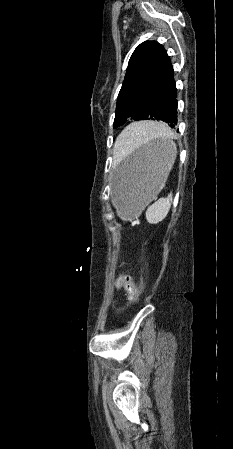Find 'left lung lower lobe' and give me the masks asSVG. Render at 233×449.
Instances as JSON below:
<instances>
[{"label": "left lung lower lobe", "instance_id": "1", "mask_svg": "<svg viewBox=\"0 0 233 449\" xmlns=\"http://www.w3.org/2000/svg\"><path fill=\"white\" fill-rule=\"evenodd\" d=\"M177 89L174 77L156 95L147 110V119L161 120L171 128L177 125Z\"/></svg>", "mask_w": 233, "mask_h": 449}]
</instances>
